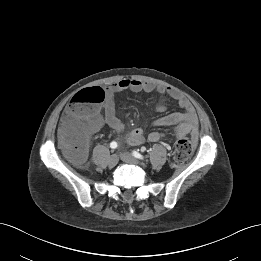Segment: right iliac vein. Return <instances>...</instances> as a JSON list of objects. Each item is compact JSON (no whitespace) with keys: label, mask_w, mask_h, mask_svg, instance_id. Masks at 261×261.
Segmentation results:
<instances>
[{"label":"right iliac vein","mask_w":261,"mask_h":261,"mask_svg":"<svg viewBox=\"0 0 261 261\" xmlns=\"http://www.w3.org/2000/svg\"><path fill=\"white\" fill-rule=\"evenodd\" d=\"M117 163H118V157H117V155H115V154L111 155V156L109 157V159H108V166H109V167H114V166L117 165Z\"/></svg>","instance_id":"obj_1"}]
</instances>
